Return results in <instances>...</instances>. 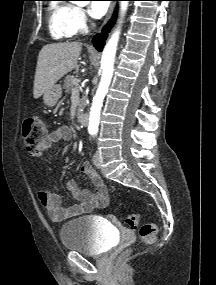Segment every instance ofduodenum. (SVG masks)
<instances>
[{"mask_svg":"<svg viewBox=\"0 0 216 285\" xmlns=\"http://www.w3.org/2000/svg\"><path fill=\"white\" fill-rule=\"evenodd\" d=\"M89 117L88 114L81 112L78 114V122L82 126H86L88 124Z\"/></svg>","mask_w":216,"mask_h":285,"instance_id":"duodenum-1","label":"duodenum"}]
</instances>
